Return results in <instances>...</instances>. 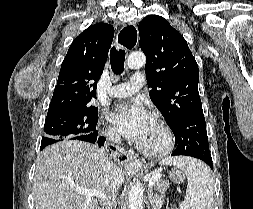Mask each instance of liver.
<instances>
[{
	"instance_id": "liver-1",
	"label": "liver",
	"mask_w": 253,
	"mask_h": 209,
	"mask_svg": "<svg viewBox=\"0 0 253 209\" xmlns=\"http://www.w3.org/2000/svg\"><path fill=\"white\" fill-rule=\"evenodd\" d=\"M109 163L102 149L82 141L65 139L45 148L37 159L33 180L35 209H99L100 198H89L75 189L97 190L109 198ZM120 174L122 183L125 174L122 170Z\"/></svg>"
}]
</instances>
